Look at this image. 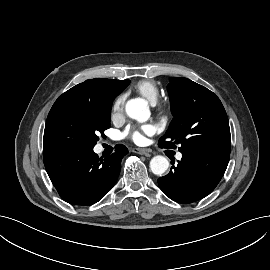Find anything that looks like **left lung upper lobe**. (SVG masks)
Returning <instances> with one entry per match:
<instances>
[{
	"mask_svg": "<svg viewBox=\"0 0 270 270\" xmlns=\"http://www.w3.org/2000/svg\"><path fill=\"white\" fill-rule=\"evenodd\" d=\"M174 116L160 147L179 151H215L230 154L231 135L228 117L219 98L209 89L187 78H170L168 85Z\"/></svg>",
	"mask_w": 270,
	"mask_h": 270,
	"instance_id": "obj_1",
	"label": "left lung upper lobe"
}]
</instances>
